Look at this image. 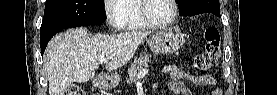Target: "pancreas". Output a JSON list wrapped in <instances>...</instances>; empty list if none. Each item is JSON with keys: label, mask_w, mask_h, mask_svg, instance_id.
<instances>
[{"label": "pancreas", "mask_w": 277, "mask_h": 95, "mask_svg": "<svg viewBox=\"0 0 277 95\" xmlns=\"http://www.w3.org/2000/svg\"><path fill=\"white\" fill-rule=\"evenodd\" d=\"M151 56L144 53L134 60L128 69L127 84L130 85L136 81L137 75L144 69H147Z\"/></svg>", "instance_id": "obj_1"}]
</instances>
